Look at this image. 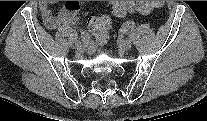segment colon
I'll return each instance as SVG.
<instances>
[{
    "mask_svg": "<svg viewBox=\"0 0 207 121\" xmlns=\"http://www.w3.org/2000/svg\"><path fill=\"white\" fill-rule=\"evenodd\" d=\"M161 5V1H137L131 3L115 1L112 5V12L117 17H123L134 12L148 14ZM89 28L97 42L103 44L108 40L111 20L105 15L92 17L89 19Z\"/></svg>",
    "mask_w": 207,
    "mask_h": 121,
    "instance_id": "colon-1",
    "label": "colon"
}]
</instances>
